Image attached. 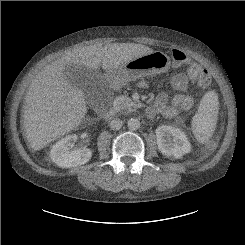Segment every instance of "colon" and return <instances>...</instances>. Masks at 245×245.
I'll use <instances>...</instances> for the list:
<instances>
[{
    "mask_svg": "<svg viewBox=\"0 0 245 245\" xmlns=\"http://www.w3.org/2000/svg\"><path fill=\"white\" fill-rule=\"evenodd\" d=\"M171 57L176 66L180 68H191L192 60L191 58L181 50L173 49L171 52ZM192 81L203 88H207L211 84V78L206 71L196 70L192 75ZM217 135L212 136L201 148V157H207L215 149L217 144Z\"/></svg>",
    "mask_w": 245,
    "mask_h": 245,
    "instance_id": "colon-1",
    "label": "colon"
}]
</instances>
